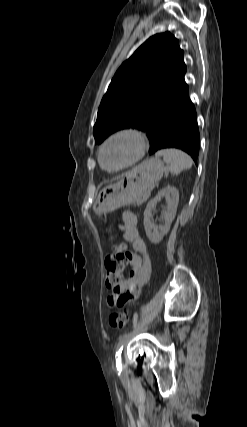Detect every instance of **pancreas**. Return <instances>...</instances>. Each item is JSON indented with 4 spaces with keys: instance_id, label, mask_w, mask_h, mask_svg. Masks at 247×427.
<instances>
[{
    "instance_id": "obj_1",
    "label": "pancreas",
    "mask_w": 247,
    "mask_h": 427,
    "mask_svg": "<svg viewBox=\"0 0 247 427\" xmlns=\"http://www.w3.org/2000/svg\"><path fill=\"white\" fill-rule=\"evenodd\" d=\"M148 196H149V192H146V193L142 196V198L137 202V205H140V204H142L143 202H145V201L147 200Z\"/></svg>"
}]
</instances>
